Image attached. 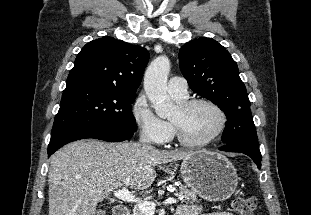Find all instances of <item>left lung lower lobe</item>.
I'll use <instances>...</instances> for the list:
<instances>
[{"mask_svg": "<svg viewBox=\"0 0 311 215\" xmlns=\"http://www.w3.org/2000/svg\"><path fill=\"white\" fill-rule=\"evenodd\" d=\"M219 150L227 152H240L250 156L257 164L258 168H261V153L258 147L247 144H227L219 148Z\"/></svg>", "mask_w": 311, "mask_h": 215, "instance_id": "left-lung-lower-lobe-1", "label": "left lung lower lobe"}]
</instances>
